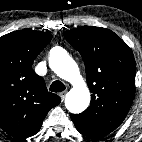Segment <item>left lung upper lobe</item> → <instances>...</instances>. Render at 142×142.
Instances as JSON below:
<instances>
[{
  "mask_svg": "<svg viewBox=\"0 0 142 142\" xmlns=\"http://www.w3.org/2000/svg\"><path fill=\"white\" fill-rule=\"evenodd\" d=\"M85 62L90 106L71 118L92 138L115 130L125 119L135 94L136 64L131 49L106 28L83 26L64 32Z\"/></svg>",
  "mask_w": 142,
  "mask_h": 142,
  "instance_id": "obj_1",
  "label": "left lung upper lobe"
}]
</instances>
